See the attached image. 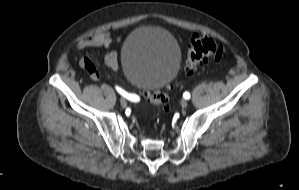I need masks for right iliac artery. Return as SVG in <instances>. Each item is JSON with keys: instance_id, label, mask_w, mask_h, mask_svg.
Here are the masks:
<instances>
[{"instance_id": "right-iliac-artery-1", "label": "right iliac artery", "mask_w": 299, "mask_h": 190, "mask_svg": "<svg viewBox=\"0 0 299 190\" xmlns=\"http://www.w3.org/2000/svg\"><path fill=\"white\" fill-rule=\"evenodd\" d=\"M116 90L125 98H127L130 101H139V96L135 95V94H130L127 93L126 91H124L122 88H120L119 86H116Z\"/></svg>"}]
</instances>
